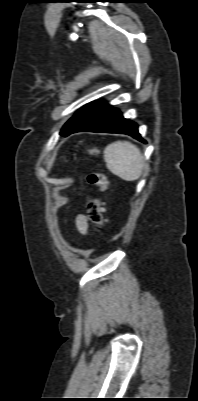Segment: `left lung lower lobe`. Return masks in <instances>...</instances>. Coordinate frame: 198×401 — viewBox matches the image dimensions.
Segmentation results:
<instances>
[{
    "label": "left lung lower lobe",
    "mask_w": 198,
    "mask_h": 401,
    "mask_svg": "<svg viewBox=\"0 0 198 401\" xmlns=\"http://www.w3.org/2000/svg\"><path fill=\"white\" fill-rule=\"evenodd\" d=\"M82 131L128 134L146 143L141 139L135 123L124 119L118 109L103 101L88 105L65 132V136Z\"/></svg>",
    "instance_id": "obj_1"
}]
</instances>
